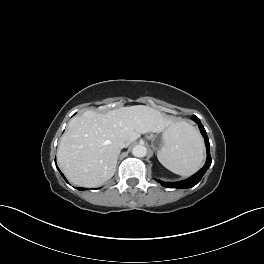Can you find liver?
<instances>
[{
  "mask_svg": "<svg viewBox=\"0 0 264 264\" xmlns=\"http://www.w3.org/2000/svg\"><path fill=\"white\" fill-rule=\"evenodd\" d=\"M176 124L160 111L135 105L111 110L106 114L86 111L72 118L61 138L57 161L70 182L97 187L115 172L121 147L129 146L141 134L164 132Z\"/></svg>",
  "mask_w": 264,
  "mask_h": 264,
  "instance_id": "liver-1",
  "label": "liver"
}]
</instances>
